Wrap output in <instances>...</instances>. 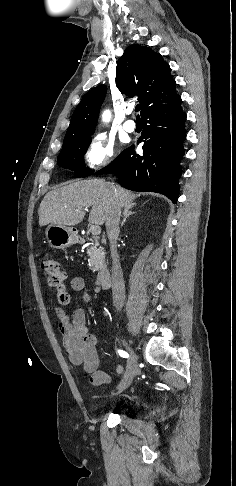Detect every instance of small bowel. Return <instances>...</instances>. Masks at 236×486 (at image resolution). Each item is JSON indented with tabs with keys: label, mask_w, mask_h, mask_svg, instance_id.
Wrapping results in <instances>:
<instances>
[{
	"label": "small bowel",
	"mask_w": 236,
	"mask_h": 486,
	"mask_svg": "<svg viewBox=\"0 0 236 486\" xmlns=\"http://www.w3.org/2000/svg\"><path fill=\"white\" fill-rule=\"evenodd\" d=\"M69 286L73 291L82 292L84 303L90 302L92 294L87 290L83 278L73 277ZM57 317L58 330L62 336L63 346L66 349L70 361L90 374V382L99 386L110 381V376L99 369V356L97 352L98 338L90 330L86 323V312L83 307L77 308L72 316H69L59 307H53ZM124 368L121 364L114 366V371L121 374Z\"/></svg>",
	"instance_id": "1"
}]
</instances>
